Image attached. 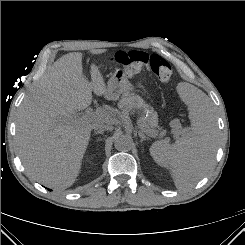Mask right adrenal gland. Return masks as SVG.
Returning <instances> with one entry per match:
<instances>
[{"label": "right adrenal gland", "instance_id": "2a0ac1e0", "mask_svg": "<svg viewBox=\"0 0 245 245\" xmlns=\"http://www.w3.org/2000/svg\"><path fill=\"white\" fill-rule=\"evenodd\" d=\"M103 132H104V129H100L98 131H95L94 132V135H96V134H103Z\"/></svg>", "mask_w": 245, "mask_h": 245}]
</instances>
